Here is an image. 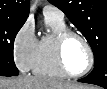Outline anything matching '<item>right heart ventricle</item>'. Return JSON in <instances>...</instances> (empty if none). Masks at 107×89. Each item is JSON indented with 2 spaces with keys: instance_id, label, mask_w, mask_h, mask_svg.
Here are the masks:
<instances>
[{
  "instance_id": "1",
  "label": "right heart ventricle",
  "mask_w": 107,
  "mask_h": 89,
  "mask_svg": "<svg viewBox=\"0 0 107 89\" xmlns=\"http://www.w3.org/2000/svg\"><path fill=\"white\" fill-rule=\"evenodd\" d=\"M51 31L38 40L36 54L32 65V71L36 75L53 78H65L66 75L60 69L54 50V39L57 33L67 29L64 20L45 17Z\"/></svg>"
}]
</instances>
